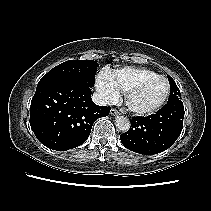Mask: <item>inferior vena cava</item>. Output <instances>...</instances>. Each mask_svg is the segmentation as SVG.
Here are the masks:
<instances>
[{"mask_svg":"<svg viewBox=\"0 0 211 211\" xmlns=\"http://www.w3.org/2000/svg\"><path fill=\"white\" fill-rule=\"evenodd\" d=\"M92 100L95 104L99 106H106L109 104L107 98L104 95L97 92L92 95Z\"/></svg>","mask_w":211,"mask_h":211,"instance_id":"inferior-vena-cava-1","label":"inferior vena cava"}]
</instances>
